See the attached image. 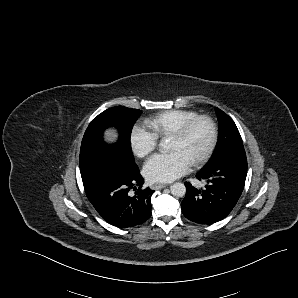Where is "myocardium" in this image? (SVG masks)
<instances>
[{"instance_id":"1","label":"myocardium","mask_w":298,"mask_h":298,"mask_svg":"<svg viewBox=\"0 0 298 298\" xmlns=\"http://www.w3.org/2000/svg\"><path fill=\"white\" fill-rule=\"evenodd\" d=\"M200 122H204L206 124L207 139H206V143H205L204 148L189 163L190 167H193L196 164H198L200 161H202L210 153V150L212 148V144H213L214 136H215V131H214V125H213V123H212V121L209 117L200 115V116H197V117H195V118H193L189 121H186V122L178 125L175 129H173L168 134H166L163 137V140H162V145H163L165 142H168V141L173 140V139H177V138L183 136L192 127H194L196 124H198Z\"/></svg>"}]
</instances>
